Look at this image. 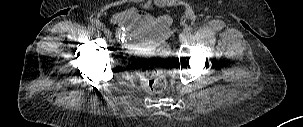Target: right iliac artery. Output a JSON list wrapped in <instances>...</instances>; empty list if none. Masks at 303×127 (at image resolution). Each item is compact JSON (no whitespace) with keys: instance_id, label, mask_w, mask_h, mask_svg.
<instances>
[{"instance_id":"1","label":"right iliac artery","mask_w":303,"mask_h":127,"mask_svg":"<svg viewBox=\"0 0 303 127\" xmlns=\"http://www.w3.org/2000/svg\"><path fill=\"white\" fill-rule=\"evenodd\" d=\"M93 23L98 29L103 30L105 28V26L99 20H94Z\"/></svg>"}]
</instances>
